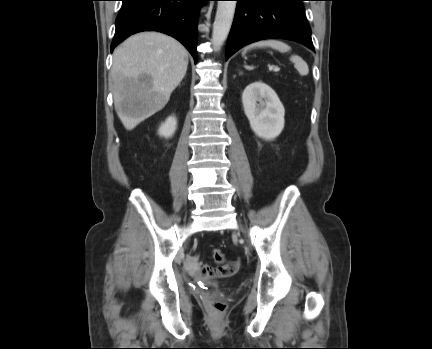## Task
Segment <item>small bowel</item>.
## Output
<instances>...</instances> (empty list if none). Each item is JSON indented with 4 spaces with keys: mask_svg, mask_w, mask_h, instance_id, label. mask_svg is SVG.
I'll use <instances>...</instances> for the list:
<instances>
[{
    "mask_svg": "<svg viewBox=\"0 0 432 349\" xmlns=\"http://www.w3.org/2000/svg\"><path fill=\"white\" fill-rule=\"evenodd\" d=\"M239 266V261H232L226 265L217 268L205 265L202 267V275L207 280L228 278L237 273V271L239 270Z\"/></svg>",
    "mask_w": 432,
    "mask_h": 349,
    "instance_id": "c3829d8e",
    "label": "small bowel"
}]
</instances>
